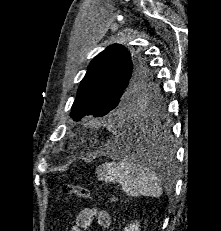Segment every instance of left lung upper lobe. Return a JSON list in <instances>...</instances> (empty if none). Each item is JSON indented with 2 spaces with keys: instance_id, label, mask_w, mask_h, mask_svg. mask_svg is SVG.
<instances>
[{
  "instance_id": "left-lung-upper-lobe-1",
  "label": "left lung upper lobe",
  "mask_w": 221,
  "mask_h": 231,
  "mask_svg": "<svg viewBox=\"0 0 221 231\" xmlns=\"http://www.w3.org/2000/svg\"><path fill=\"white\" fill-rule=\"evenodd\" d=\"M143 105L153 117L164 114L162 90L153 78L146 58L113 44L89 64L71 108L75 121L82 118L114 117L128 106Z\"/></svg>"
}]
</instances>
